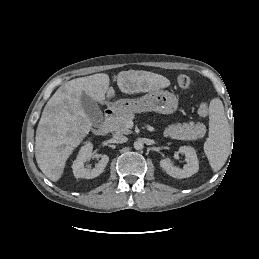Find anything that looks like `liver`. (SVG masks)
<instances>
[{"label":"liver","instance_id":"liver-1","mask_svg":"<svg viewBox=\"0 0 259 259\" xmlns=\"http://www.w3.org/2000/svg\"><path fill=\"white\" fill-rule=\"evenodd\" d=\"M109 85L110 78L105 73L80 77L60 86L48 100L36 130L35 157L51 181L61 178L67 159L92 128L81 104L82 93L104 104L115 96ZM117 85L122 93L134 94L166 88L170 81L160 74L129 70L119 72Z\"/></svg>","mask_w":259,"mask_h":259}]
</instances>
